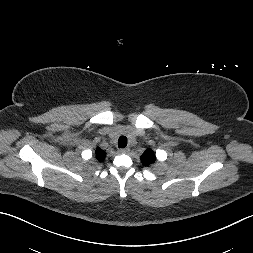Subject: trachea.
<instances>
[{"mask_svg": "<svg viewBox=\"0 0 253 253\" xmlns=\"http://www.w3.org/2000/svg\"><path fill=\"white\" fill-rule=\"evenodd\" d=\"M127 146V138L125 136H121L118 139V147L125 148Z\"/></svg>", "mask_w": 253, "mask_h": 253, "instance_id": "3493384b", "label": "trachea"}]
</instances>
